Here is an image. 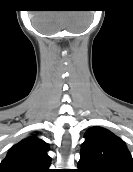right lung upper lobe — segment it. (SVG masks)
<instances>
[{
    "label": "right lung upper lobe",
    "instance_id": "1",
    "mask_svg": "<svg viewBox=\"0 0 133 172\" xmlns=\"http://www.w3.org/2000/svg\"><path fill=\"white\" fill-rule=\"evenodd\" d=\"M48 144L30 136L12 146L0 164V172H51Z\"/></svg>",
    "mask_w": 133,
    "mask_h": 172
}]
</instances>
